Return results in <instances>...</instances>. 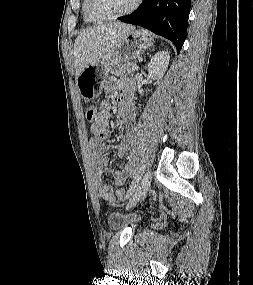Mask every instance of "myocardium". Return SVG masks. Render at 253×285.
I'll return each instance as SVG.
<instances>
[{
  "label": "myocardium",
  "instance_id": "f54148a6",
  "mask_svg": "<svg viewBox=\"0 0 253 285\" xmlns=\"http://www.w3.org/2000/svg\"><path fill=\"white\" fill-rule=\"evenodd\" d=\"M142 0H135L134 3L125 11L110 15V16H98L96 15L91 8V0H85V9L88 16L94 21H111L116 20L126 15L133 13L141 4Z\"/></svg>",
  "mask_w": 253,
  "mask_h": 285
}]
</instances>
